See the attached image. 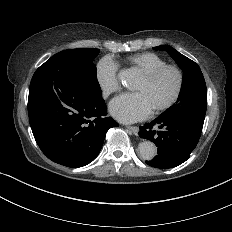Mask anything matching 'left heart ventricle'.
I'll return each mask as SVG.
<instances>
[{"label":"left heart ventricle","mask_w":232,"mask_h":232,"mask_svg":"<svg viewBox=\"0 0 232 232\" xmlns=\"http://www.w3.org/2000/svg\"><path fill=\"white\" fill-rule=\"evenodd\" d=\"M177 83L176 73L168 69L150 83L146 82L142 77L134 90L145 92L156 110L170 100L176 90Z\"/></svg>","instance_id":"left-heart-ventricle-1"}]
</instances>
